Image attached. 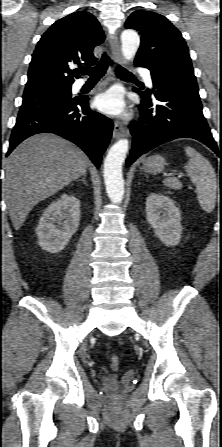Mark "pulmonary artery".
<instances>
[{"instance_id": "1", "label": "pulmonary artery", "mask_w": 222, "mask_h": 447, "mask_svg": "<svg viewBox=\"0 0 222 447\" xmlns=\"http://www.w3.org/2000/svg\"><path fill=\"white\" fill-rule=\"evenodd\" d=\"M138 72L141 73L144 76L145 81L147 82V84L149 86H152V79H151V76H150L149 72L147 70L143 69V68H139ZM83 83H84L83 80H78L77 82H75L74 87L75 88H79V87H81L83 85Z\"/></svg>"}]
</instances>
